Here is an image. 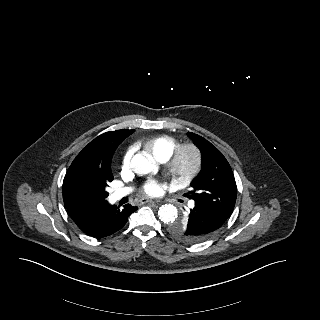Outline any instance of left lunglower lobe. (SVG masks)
<instances>
[{
  "label": "left lung lower lobe",
  "instance_id": "left-lung-lower-lobe-1",
  "mask_svg": "<svg viewBox=\"0 0 320 320\" xmlns=\"http://www.w3.org/2000/svg\"><path fill=\"white\" fill-rule=\"evenodd\" d=\"M227 219L217 215L211 210H207L199 204H195L187 217L189 233L198 239L204 241L211 237Z\"/></svg>",
  "mask_w": 320,
  "mask_h": 320
}]
</instances>
